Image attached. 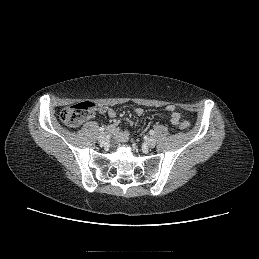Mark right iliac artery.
Returning <instances> with one entry per match:
<instances>
[{
    "label": "right iliac artery",
    "mask_w": 259,
    "mask_h": 259,
    "mask_svg": "<svg viewBox=\"0 0 259 259\" xmlns=\"http://www.w3.org/2000/svg\"><path fill=\"white\" fill-rule=\"evenodd\" d=\"M99 130H100V132H103L105 130V128L104 127H100Z\"/></svg>",
    "instance_id": "obj_1"
}]
</instances>
